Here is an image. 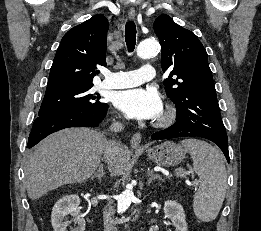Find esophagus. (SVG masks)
<instances>
[{
    "label": "esophagus",
    "instance_id": "1",
    "mask_svg": "<svg viewBox=\"0 0 261 231\" xmlns=\"http://www.w3.org/2000/svg\"><path fill=\"white\" fill-rule=\"evenodd\" d=\"M128 15H129V18L131 20H134L135 17H136V12H135V9L133 7L130 8L129 12H128ZM130 145L133 147V148H141L142 145H141V134L140 132H136L133 134L131 140H130Z\"/></svg>",
    "mask_w": 261,
    "mask_h": 231
}]
</instances>
